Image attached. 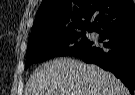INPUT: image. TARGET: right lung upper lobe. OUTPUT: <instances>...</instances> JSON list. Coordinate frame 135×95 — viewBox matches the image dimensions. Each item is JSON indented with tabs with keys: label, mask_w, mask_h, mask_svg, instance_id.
Listing matches in <instances>:
<instances>
[{
	"label": "right lung upper lobe",
	"mask_w": 135,
	"mask_h": 95,
	"mask_svg": "<svg viewBox=\"0 0 135 95\" xmlns=\"http://www.w3.org/2000/svg\"><path fill=\"white\" fill-rule=\"evenodd\" d=\"M134 14L135 5L131 0H43L31 35L95 30L107 21ZM91 18H94L92 23Z\"/></svg>",
	"instance_id": "cb5924a9"
}]
</instances>
